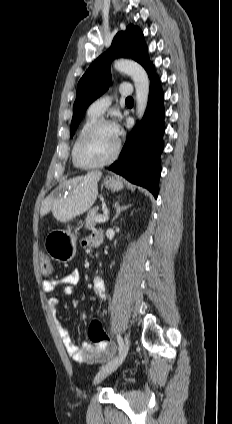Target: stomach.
I'll list each match as a JSON object with an SVG mask.
<instances>
[{
	"label": "stomach",
	"instance_id": "stomach-1",
	"mask_svg": "<svg viewBox=\"0 0 232 424\" xmlns=\"http://www.w3.org/2000/svg\"><path fill=\"white\" fill-rule=\"evenodd\" d=\"M103 185L107 189L120 191L123 189V183L114 177H106ZM77 236L71 229L53 230L45 239V249L52 259L59 262H67L72 260L76 252Z\"/></svg>",
	"mask_w": 232,
	"mask_h": 424
}]
</instances>
